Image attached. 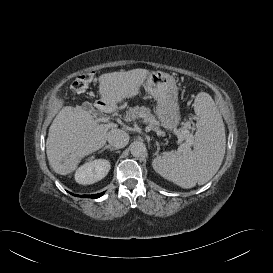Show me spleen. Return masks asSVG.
<instances>
[{
    "mask_svg": "<svg viewBox=\"0 0 273 273\" xmlns=\"http://www.w3.org/2000/svg\"><path fill=\"white\" fill-rule=\"evenodd\" d=\"M197 115L194 149L189 153H165L153 160L154 170L182 188L207 183L218 171L226 149L225 127L212 97L199 93L194 102Z\"/></svg>",
    "mask_w": 273,
    "mask_h": 273,
    "instance_id": "spleen-1",
    "label": "spleen"
}]
</instances>
